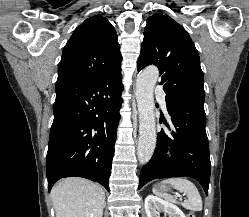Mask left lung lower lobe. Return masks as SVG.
Here are the masks:
<instances>
[{
  "instance_id": "left-lung-lower-lobe-1",
  "label": "left lung lower lobe",
  "mask_w": 249,
  "mask_h": 217,
  "mask_svg": "<svg viewBox=\"0 0 249 217\" xmlns=\"http://www.w3.org/2000/svg\"><path fill=\"white\" fill-rule=\"evenodd\" d=\"M166 105L170 124L163 122L171 129H161L157 135V148L141 170L138 188L153 179L187 176L197 180L207 194L211 163L204 104L174 98L166 100ZM168 146L171 158L167 156Z\"/></svg>"
}]
</instances>
